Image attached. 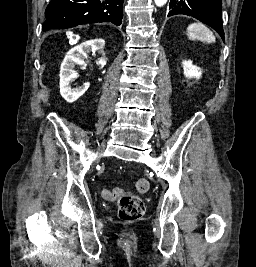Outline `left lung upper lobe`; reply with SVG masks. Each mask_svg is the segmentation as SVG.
I'll return each mask as SVG.
<instances>
[{
  "label": "left lung upper lobe",
  "mask_w": 256,
  "mask_h": 267,
  "mask_svg": "<svg viewBox=\"0 0 256 267\" xmlns=\"http://www.w3.org/2000/svg\"><path fill=\"white\" fill-rule=\"evenodd\" d=\"M221 0H171L169 16L184 14L192 16L212 27L223 39Z\"/></svg>",
  "instance_id": "5c2ea615"
}]
</instances>
